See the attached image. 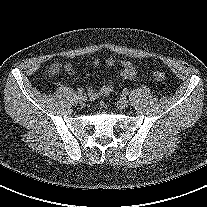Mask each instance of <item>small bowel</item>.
Masks as SVG:
<instances>
[{
  "label": "small bowel",
  "mask_w": 207,
  "mask_h": 207,
  "mask_svg": "<svg viewBox=\"0 0 207 207\" xmlns=\"http://www.w3.org/2000/svg\"><path fill=\"white\" fill-rule=\"evenodd\" d=\"M99 63H100V61L98 59L93 60V64L95 66H98ZM114 64H115V61L112 58H107L105 60V65L107 67H113ZM50 68L56 69V73H58L61 69V66L59 64L55 63V64L51 65ZM64 70L68 74H71V75L75 73L74 66L71 63H66L64 65ZM120 74L125 79H134L137 75V69H136L135 65L130 60H123L121 62V72H120ZM112 90H113V83L110 81V82L102 85L99 88L89 87L87 89V93H88V95L91 99H96V98H98L102 95L109 94Z\"/></svg>",
  "instance_id": "small-bowel-1"
}]
</instances>
